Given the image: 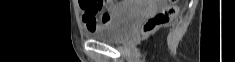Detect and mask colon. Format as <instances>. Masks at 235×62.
<instances>
[{"label": "colon", "mask_w": 235, "mask_h": 62, "mask_svg": "<svg viewBox=\"0 0 235 62\" xmlns=\"http://www.w3.org/2000/svg\"><path fill=\"white\" fill-rule=\"evenodd\" d=\"M170 5L162 11L153 15L143 25L142 31L145 34H149L157 30L158 28L168 24L178 13V7L175 5V1L170 0ZM101 4L93 1L90 4V12L98 13L101 10Z\"/></svg>", "instance_id": "5ec220e1"}]
</instances>
